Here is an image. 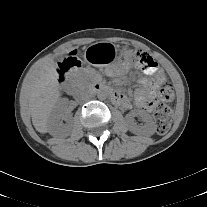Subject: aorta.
<instances>
[{
  "mask_svg": "<svg viewBox=\"0 0 207 207\" xmlns=\"http://www.w3.org/2000/svg\"><path fill=\"white\" fill-rule=\"evenodd\" d=\"M108 97V93L106 90L104 89H100L98 90L97 92V98L100 99V100H104Z\"/></svg>",
  "mask_w": 207,
  "mask_h": 207,
  "instance_id": "aorta-1",
  "label": "aorta"
}]
</instances>
